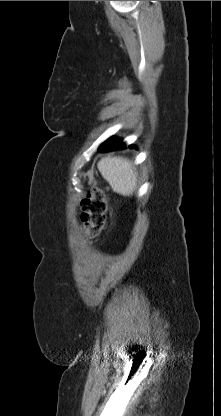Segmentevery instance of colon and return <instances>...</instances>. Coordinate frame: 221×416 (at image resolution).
Wrapping results in <instances>:
<instances>
[{
	"mask_svg": "<svg viewBox=\"0 0 221 416\" xmlns=\"http://www.w3.org/2000/svg\"><path fill=\"white\" fill-rule=\"evenodd\" d=\"M107 209L104 192L99 187L93 186L82 201L81 219L84 232L89 238L97 237L104 229Z\"/></svg>",
	"mask_w": 221,
	"mask_h": 416,
	"instance_id": "colon-1",
	"label": "colon"
}]
</instances>
